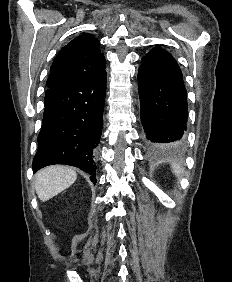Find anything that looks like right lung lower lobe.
I'll return each instance as SVG.
<instances>
[{
  "label": "right lung lower lobe",
  "mask_w": 232,
  "mask_h": 282,
  "mask_svg": "<svg viewBox=\"0 0 232 282\" xmlns=\"http://www.w3.org/2000/svg\"><path fill=\"white\" fill-rule=\"evenodd\" d=\"M105 94L103 71L77 82L45 104L34 172L48 165L66 164L89 173L96 183V149L102 133Z\"/></svg>",
  "instance_id": "right-lung-lower-lobe-1"
}]
</instances>
